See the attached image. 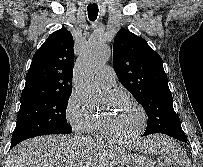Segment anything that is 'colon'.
<instances>
[{"label":"colon","instance_id":"colon-1","mask_svg":"<svg viewBox=\"0 0 203 167\" xmlns=\"http://www.w3.org/2000/svg\"><path fill=\"white\" fill-rule=\"evenodd\" d=\"M157 167H178L175 163L166 157H160L157 161Z\"/></svg>","mask_w":203,"mask_h":167}]
</instances>
